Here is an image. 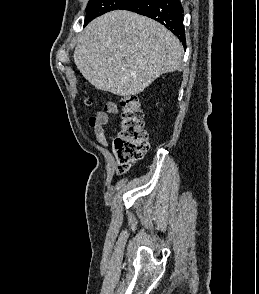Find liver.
<instances>
[{"instance_id":"1","label":"liver","mask_w":259,"mask_h":294,"mask_svg":"<svg viewBox=\"0 0 259 294\" xmlns=\"http://www.w3.org/2000/svg\"><path fill=\"white\" fill-rule=\"evenodd\" d=\"M183 47L163 25L116 10L91 21L74 51V62L95 88L137 95L160 75L181 69Z\"/></svg>"}]
</instances>
